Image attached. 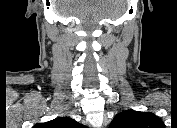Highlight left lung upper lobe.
I'll use <instances>...</instances> for the list:
<instances>
[{
  "instance_id": "left-lung-upper-lobe-1",
  "label": "left lung upper lobe",
  "mask_w": 177,
  "mask_h": 128,
  "mask_svg": "<svg viewBox=\"0 0 177 128\" xmlns=\"http://www.w3.org/2000/svg\"><path fill=\"white\" fill-rule=\"evenodd\" d=\"M161 128L163 122L151 112L123 111L112 120L109 128Z\"/></svg>"
}]
</instances>
